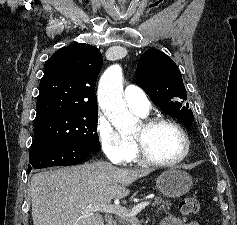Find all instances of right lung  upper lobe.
I'll return each instance as SVG.
<instances>
[{
	"label": "right lung upper lobe",
	"mask_w": 237,
	"mask_h": 225,
	"mask_svg": "<svg viewBox=\"0 0 237 225\" xmlns=\"http://www.w3.org/2000/svg\"><path fill=\"white\" fill-rule=\"evenodd\" d=\"M102 65V55L92 45L75 43L57 50L45 63L35 121L98 111L95 84Z\"/></svg>",
	"instance_id": "right-lung-upper-lobe-1"
}]
</instances>
